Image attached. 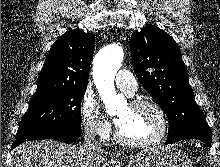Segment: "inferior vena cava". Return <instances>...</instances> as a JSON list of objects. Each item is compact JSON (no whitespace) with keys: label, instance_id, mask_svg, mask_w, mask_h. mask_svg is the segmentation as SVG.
<instances>
[{"label":"inferior vena cava","instance_id":"inferior-vena-cava-1","mask_svg":"<svg viewBox=\"0 0 220 167\" xmlns=\"http://www.w3.org/2000/svg\"><path fill=\"white\" fill-rule=\"evenodd\" d=\"M83 147L92 152H101L102 147L101 144L98 143L95 139V131L92 128L85 130V137H84V145Z\"/></svg>","mask_w":220,"mask_h":167}]
</instances>
